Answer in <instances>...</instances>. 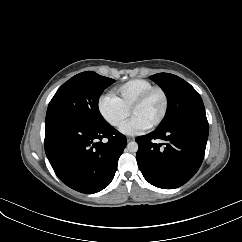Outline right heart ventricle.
Instances as JSON below:
<instances>
[{
    "label": "right heart ventricle",
    "mask_w": 242,
    "mask_h": 242,
    "mask_svg": "<svg viewBox=\"0 0 242 242\" xmlns=\"http://www.w3.org/2000/svg\"><path fill=\"white\" fill-rule=\"evenodd\" d=\"M154 85L145 79H131L117 87L111 94L126 109L130 110L133 102Z\"/></svg>",
    "instance_id": "right-heart-ventricle-1"
}]
</instances>
